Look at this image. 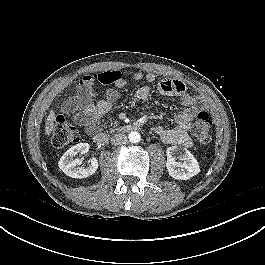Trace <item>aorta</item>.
Listing matches in <instances>:
<instances>
[{
	"label": "aorta",
	"mask_w": 265,
	"mask_h": 265,
	"mask_svg": "<svg viewBox=\"0 0 265 265\" xmlns=\"http://www.w3.org/2000/svg\"><path fill=\"white\" fill-rule=\"evenodd\" d=\"M128 138L131 143H138L141 139V135L137 131H132L129 133Z\"/></svg>",
	"instance_id": "obj_1"
}]
</instances>
